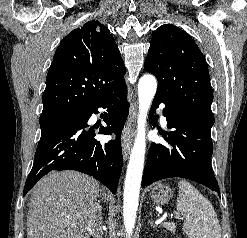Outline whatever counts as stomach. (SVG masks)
<instances>
[{"label": "stomach", "mask_w": 247, "mask_h": 238, "mask_svg": "<svg viewBox=\"0 0 247 238\" xmlns=\"http://www.w3.org/2000/svg\"><path fill=\"white\" fill-rule=\"evenodd\" d=\"M150 196L155 204L163 205L171 199L172 191L169 186L159 183L151 189Z\"/></svg>", "instance_id": "stomach-1"}]
</instances>
